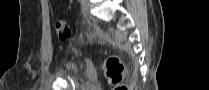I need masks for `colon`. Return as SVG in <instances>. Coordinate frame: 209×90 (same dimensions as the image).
<instances>
[{
	"label": "colon",
	"instance_id": "obj_1",
	"mask_svg": "<svg viewBox=\"0 0 209 90\" xmlns=\"http://www.w3.org/2000/svg\"><path fill=\"white\" fill-rule=\"evenodd\" d=\"M56 32L60 41H66L70 35V27L63 19L56 22ZM106 77L113 87V90H129V86L124 83L125 66L122 60L115 55L108 56L104 61Z\"/></svg>",
	"mask_w": 209,
	"mask_h": 90
}]
</instances>
